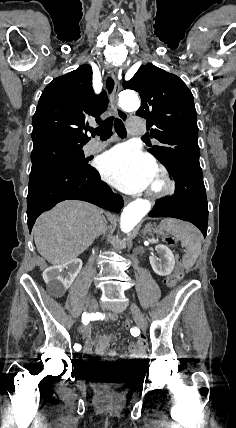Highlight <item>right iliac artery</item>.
Listing matches in <instances>:
<instances>
[{"mask_svg":"<svg viewBox=\"0 0 236 428\" xmlns=\"http://www.w3.org/2000/svg\"><path fill=\"white\" fill-rule=\"evenodd\" d=\"M90 319L91 318H90V314L89 313L84 312L82 314V323L84 325H87L89 323ZM73 348H74L75 351H80L81 350V345L80 344H75L73 346Z\"/></svg>","mask_w":236,"mask_h":428,"instance_id":"82829eb1","label":"right iliac artery"}]
</instances>
